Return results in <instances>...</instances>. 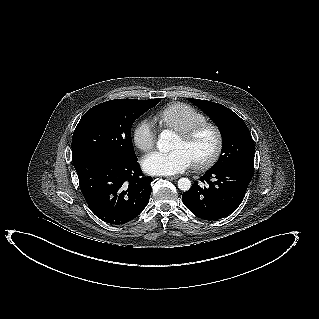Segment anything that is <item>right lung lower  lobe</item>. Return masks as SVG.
Instances as JSON below:
<instances>
[{
	"label": "right lung lower lobe",
	"mask_w": 319,
	"mask_h": 319,
	"mask_svg": "<svg viewBox=\"0 0 319 319\" xmlns=\"http://www.w3.org/2000/svg\"><path fill=\"white\" fill-rule=\"evenodd\" d=\"M81 192L91 211L109 224L136 218L148 204L151 177L141 175L137 158L93 152L73 161Z\"/></svg>",
	"instance_id": "98d812e1"
}]
</instances>
